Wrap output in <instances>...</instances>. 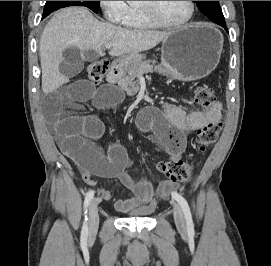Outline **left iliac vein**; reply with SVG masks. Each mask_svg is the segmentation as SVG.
Wrapping results in <instances>:
<instances>
[{
  "mask_svg": "<svg viewBox=\"0 0 271 266\" xmlns=\"http://www.w3.org/2000/svg\"><path fill=\"white\" fill-rule=\"evenodd\" d=\"M172 207H173L174 221H175L177 229L181 232H185L186 224H185V219H184V215H183L181 207L175 202H172Z\"/></svg>",
  "mask_w": 271,
  "mask_h": 266,
  "instance_id": "obj_1",
  "label": "left iliac vein"
}]
</instances>
